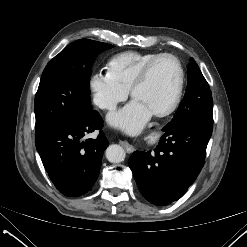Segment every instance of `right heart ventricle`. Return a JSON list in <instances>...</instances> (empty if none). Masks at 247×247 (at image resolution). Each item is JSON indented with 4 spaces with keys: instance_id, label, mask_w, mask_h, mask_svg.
Wrapping results in <instances>:
<instances>
[{
    "instance_id": "obj_1",
    "label": "right heart ventricle",
    "mask_w": 247,
    "mask_h": 247,
    "mask_svg": "<svg viewBox=\"0 0 247 247\" xmlns=\"http://www.w3.org/2000/svg\"><path fill=\"white\" fill-rule=\"evenodd\" d=\"M157 55L126 51L117 54L108 62V71L119 84L129 90L140 70Z\"/></svg>"
}]
</instances>
